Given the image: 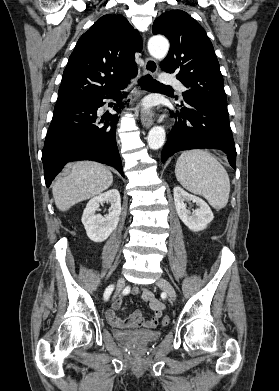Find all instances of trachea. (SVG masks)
<instances>
[{"mask_svg": "<svg viewBox=\"0 0 279 391\" xmlns=\"http://www.w3.org/2000/svg\"><path fill=\"white\" fill-rule=\"evenodd\" d=\"M139 84L146 90H161V89H172L170 86L161 84L160 82L153 79L150 75L143 76L139 79Z\"/></svg>", "mask_w": 279, "mask_h": 391, "instance_id": "3493384b", "label": "trachea"}]
</instances>
